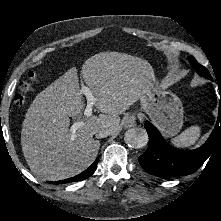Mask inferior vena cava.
<instances>
[{
  "label": "inferior vena cava",
  "mask_w": 221,
  "mask_h": 221,
  "mask_svg": "<svg viewBox=\"0 0 221 221\" xmlns=\"http://www.w3.org/2000/svg\"><path fill=\"white\" fill-rule=\"evenodd\" d=\"M112 134V128H98L95 131V136L97 138H104Z\"/></svg>",
  "instance_id": "1"
}]
</instances>
